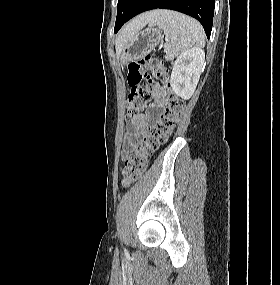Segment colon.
Listing matches in <instances>:
<instances>
[{
  "instance_id": "obj_1",
  "label": "colon",
  "mask_w": 280,
  "mask_h": 285,
  "mask_svg": "<svg viewBox=\"0 0 280 285\" xmlns=\"http://www.w3.org/2000/svg\"><path fill=\"white\" fill-rule=\"evenodd\" d=\"M153 79H160L167 84V73L160 61L146 56L129 63L127 83L130 86V94L126 103L127 118L135 116L149 103L152 97L150 83ZM184 107L183 100L169 92L165 111L125 161L122 172L124 186H130L141 177L149 155L171 136Z\"/></svg>"
}]
</instances>
